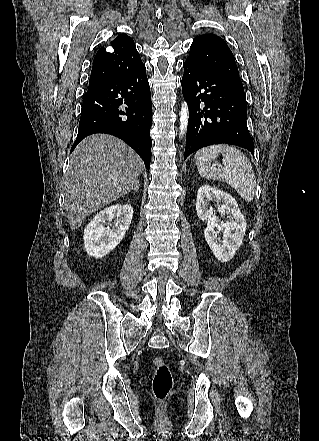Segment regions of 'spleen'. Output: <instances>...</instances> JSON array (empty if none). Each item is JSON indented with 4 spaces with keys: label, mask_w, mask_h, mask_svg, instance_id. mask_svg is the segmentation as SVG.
<instances>
[{
    "label": "spleen",
    "mask_w": 319,
    "mask_h": 441,
    "mask_svg": "<svg viewBox=\"0 0 319 441\" xmlns=\"http://www.w3.org/2000/svg\"><path fill=\"white\" fill-rule=\"evenodd\" d=\"M219 153L223 157V168L205 165L207 161H216ZM195 159L202 177L226 182L246 202L253 200L256 188L255 174L250 161L240 150L225 144L212 145L198 150Z\"/></svg>",
    "instance_id": "1"
}]
</instances>
